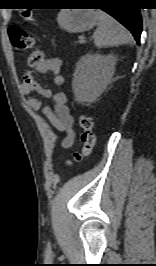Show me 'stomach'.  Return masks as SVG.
I'll use <instances>...</instances> for the list:
<instances>
[{"label":"stomach","instance_id":"1","mask_svg":"<svg viewBox=\"0 0 156 266\" xmlns=\"http://www.w3.org/2000/svg\"><path fill=\"white\" fill-rule=\"evenodd\" d=\"M97 21L96 14L91 9H63L57 16L60 28L71 33L90 30Z\"/></svg>","mask_w":156,"mask_h":266}]
</instances>
